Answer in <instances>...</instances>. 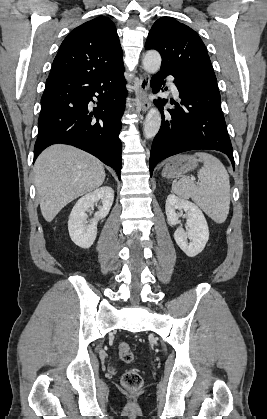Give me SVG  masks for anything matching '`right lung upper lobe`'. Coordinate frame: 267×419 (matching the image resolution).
<instances>
[{
	"instance_id": "right-lung-upper-lobe-1",
	"label": "right lung upper lobe",
	"mask_w": 267,
	"mask_h": 419,
	"mask_svg": "<svg viewBox=\"0 0 267 419\" xmlns=\"http://www.w3.org/2000/svg\"><path fill=\"white\" fill-rule=\"evenodd\" d=\"M123 65V52L114 23L107 17L90 20L62 42L48 78L109 72Z\"/></svg>"
}]
</instances>
